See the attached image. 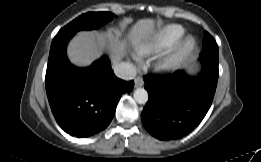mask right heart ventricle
Masks as SVG:
<instances>
[{
	"label": "right heart ventricle",
	"instance_id": "e07e8e85",
	"mask_svg": "<svg viewBox=\"0 0 261 162\" xmlns=\"http://www.w3.org/2000/svg\"><path fill=\"white\" fill-rule=\"evenodd\" d=\"M185 30L180 25H168L157 31L146 42L137 47L139 55H150L172 47L183 36Z\"/></svg>",
	"mask_w": 261,
	"mask_h": 162
}]
</instances>
